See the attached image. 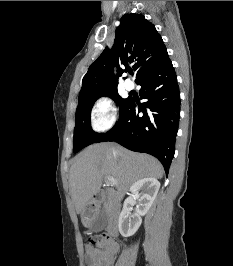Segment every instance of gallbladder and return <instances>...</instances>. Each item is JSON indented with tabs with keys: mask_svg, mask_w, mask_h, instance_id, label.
Returning a JSON list of instances; mask_svg holds the SVG:
<instances>
[{
	"mask_svg": "<svg viewBox=\"0 0 233 266\" xmlns=\"http://www.w3.org/2000/svg\"><path fill=\"white\" fill-rule=\"evenodd\" d=\"M107 219V213L104 207H102L89 226V231L95 233L102 231L107 225Z\"/></svg>",
	"mask_w": 233,
	"mask_h": 266,
	"instance_id": "gallbladder-1",
	"label": "gallbladder"
}]
</instances>
